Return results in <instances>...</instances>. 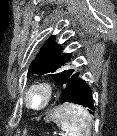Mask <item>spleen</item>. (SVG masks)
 <instances>
[{
  "label": "spleen",
  "mask_w": 117,
  "mask_h": 136,
  "mask_svg": "<svg viewBox=\"0 0 117 136\" xmlns=\"http://www.w3.org/2000/svg\"><path fill=\"white\" fill-rule=\"evenodd\" d=\"M47 121H53L65 132V136H89L91 117L88 111L74 104H64L54 109Z\"/></svg>",
  "instance_id": "obj_1"
}]
</instances>
